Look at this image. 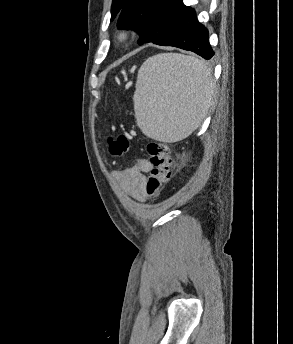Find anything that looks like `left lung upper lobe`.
Masks as SVG:
<instances>
[{"label":"left lung upper lobe","instance_id":"1","mask_svg":"<svg viewBox=\"0 0 293 344\" xmlns=\"http://www.w3.org/2000/svg\"><path fill=\"white\" fill-rule=\"evenodd\" d=\"M189 9L182 0H113L111 21L118 15V28L135 30L140 44H159L175 31Z\"/></svg>","mask_w":293,"mask_h":344}]
</instances>
